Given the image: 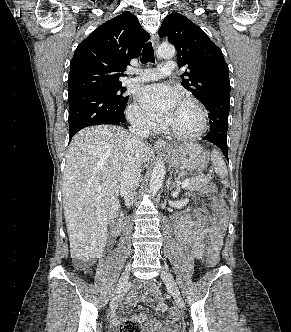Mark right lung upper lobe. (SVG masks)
Masks as SVG:
<instances>
[{
    "instance_id": "1",
    "label": "right lung upper lobe",
    "mask_w": 291,
    "mask_h": 332,
    "mask_svg": "<svg viewBox=\"0 0 291 332\" xmlns=\"http://www.w3.org/2000/svg\"><path fill=\"white\" fill-rule=\"evenodd\" d=\"M150 35L125 12L93 31L77 47L70 63L68 94L97 82L121 83L126 65L140 55Z\"/></svg>"
}]
</instances>
